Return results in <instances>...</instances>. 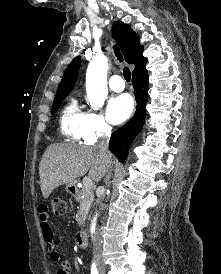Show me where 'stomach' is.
Instances as JSON below:
<instances>
[{"instance_id": "0dacf381", "label": "stomach", "mask_w": 221, "mask_h": 274, "mask_svg": "<svg viewBox=\"0 0 221 274\" xmlns=\"http://www.w3.org/2000/svg\"><path fill=\"white\" fill-rule=\"evenodd\" d=\"M66 189H67V191H69V192H73L74 189H75L74 183H73V184H67Z\"/></svg>"}]
</instances>
